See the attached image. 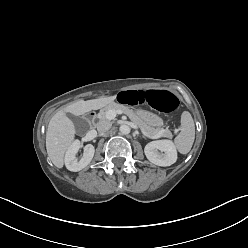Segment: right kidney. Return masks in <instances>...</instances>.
Returning <instances> with one entry per match:
<instances>
[{"mask_svg": "<svg viewBox=\"0 0 248 248\" xmlns=\"http://www.w3.org/2000/svg\"><path fill=\"white\" fill-rule=\"evenodd\" d=\"M81 148L80 141L75 140L65 154V166L69 171L77 172L85 168L93 159L95 148L92 144L84 147L83 157L78 160L77 153Z\"/></svg>", "mask_w": 248, "mask_h": 248, "instance_id": "obj_1", "label": "right kidney"}]
</instances>
